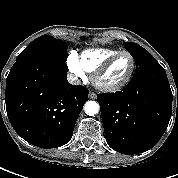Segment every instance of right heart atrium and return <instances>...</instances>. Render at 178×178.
<instances>
[{
  "label": "right heart atrium",
  "mask_w": 178,
  "mask_h": 178,
  "mask_svg": "<svg viewBox=\"0 0 178 178\" xmlns=\"http://www.w3.org/2000/svg\"><path fill=\"white\" fill-rule=\"evenodd\" d=\"M68 68L77 81L84 82L87 80L86 71L80 65L78 57L76 54H71L67 59Z\"/></svg>",
  "instance_id": "obj_1"
}]
</instances>
